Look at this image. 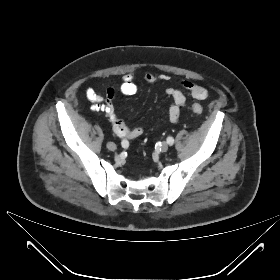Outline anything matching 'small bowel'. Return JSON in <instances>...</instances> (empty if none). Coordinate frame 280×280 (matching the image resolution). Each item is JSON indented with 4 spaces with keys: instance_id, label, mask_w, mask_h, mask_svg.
<instances>
[{
    "instance_id": "obj_1",
    "label": "small bowel",
    "mask_w": 280,
    "mask_h": 280,
    "mask_svg": "<svg viewBox=\"0 0 280 280\" xmlns=\"http://www.w3.org/2000/svg\"><path fill=\"white\" fill-rule=\"evenodd\" d=\"M149 84L162 83L168 80L166 75H157L148 73L144 77ZM180 87L186 90L194 99L203 100L208 96V91L201 85L194 82L183 80L179 83ZM120 92L124 95H133L137 92V85L134 82L132 74H126L122 77L120 84ZM165 94L172 99V103L168 109V116L171 122H177L180 116V110L187 108V100L181 90L167 87ZM116 95V90L109 87L106 90L105 97L99 95L93 88L89 87L85 91L86 98L93 103V109L103 112L109 119L115 134L122 139H134L140 136L143 132L141 127H128L125 122L115 113L113 100Z\"/></svg>"
}]
</instances>
